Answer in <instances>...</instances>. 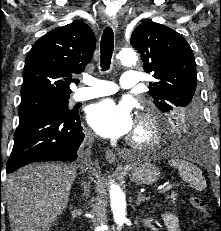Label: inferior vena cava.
<instances>
[{
	"label": "inferior vena cava",
	"mask_w": 221,
	"mask_h": 231,
	"mask_svg": "<svg viewBox=\"0 0 221 231\" xmlns=\"http://www.w3.org/2000/svg\"><path fill=\"white\" fill-rule=\"evenodd\" d=\"M82 185L84 186V191H85V193H86V195H87V193H88V189H89V183H86V182H83L82 183Z\"/></svg>",
	"instance_id": "inferior-vena-cava-1"
}]
</instances>
